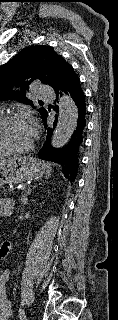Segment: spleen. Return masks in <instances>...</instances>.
<instances>
[{"instance_id":"obj_1","label":"spleen","mask_w":118,"mask_h":320,"mask_svg":"<svg viewBox=\"0 0 118 320\" xmlns=\"http://www.w3.org/2000/svg\"><path fill=\"white\" fill-rule=\"evenodd\" d=\"M46 176L47 177H50L51 176V172H52V168H51V164L50 163H47L46 165Z\"/></svg>"}]
</instances>
